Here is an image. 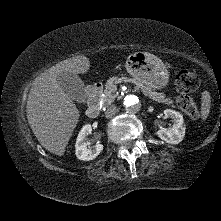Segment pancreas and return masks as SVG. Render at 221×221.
<instances>
[{
    "instance_id": "pancreas-1",
    "label": "pancreas",
    "mask_w": 221,
    "mask_h": 221,
    "mask_svg": "<svg viewBox=\"0 0 221 221\" xmlns=\"http://www.w3.org/2000/svg\"><path fill=\"white\" fill-rule=\"evenodd\" d=\"M121 82H132L136 85V89L143 92L145 96H148L150 99L159 102L165 103L168 105L173 104V100L166 97L164 93L156 92L154 89L143 85L140 82H137L134 79L128 77H114L109 79L105 84L104 96L102 97L103 105L108 106L110 105L116 98V95L113 94L116 91V84Z\"/></svg>"
}]
</instances>
